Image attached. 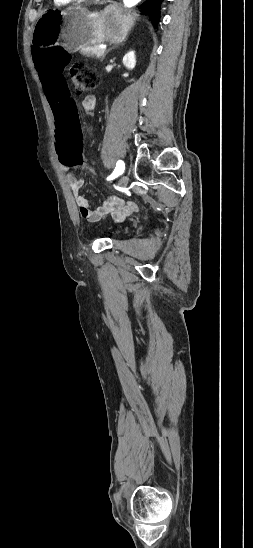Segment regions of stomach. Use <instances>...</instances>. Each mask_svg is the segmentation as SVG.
Returning <instances> with one entry per match:
<instances>
[{"label":"stomach","mask_w":253,"mask_h":548,"mask_svg":"<svg viewBox=\"0 0 253 548\" xmlns=\"http://www.w3.org/2000/svg\"><path fill=\"white\" fill-rule=\"evenodd\" d=\"M135 20V15L122 13L116 5L100 12H89L80 6L64 11L54 9L38 20L33 40L40 45L60 43L66 50L76 52L87 45L124 41Z\"/></svg>","instance_id":"0dacf381"}]
</instances>
